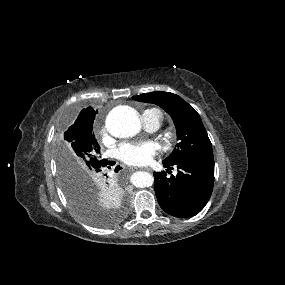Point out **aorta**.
<instances>
[{
	"instance_id": "762f6f07",
	"label": "aorta",
	"mask_w": 285,
	"mask_h": 285,
	"mask_svg": "<svg viewBox=\"0 0 285 285\" xmlns=\"http://www.w3.org/2000/svg\"><path fill=\"white\" fill-rule=\"evenodd\" d=\"M108 132L117 138H128L136 135L141 129L138 112L129 106L113 108L106 118ZM131 183L138 188L149 187L153 184V176L144 171L135 172L131 176Z\"/></svg>"
}]
</instances>
